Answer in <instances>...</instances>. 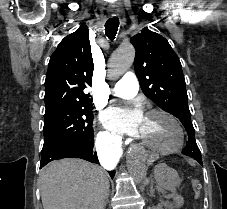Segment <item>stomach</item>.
<instances>
[{
    "mask_svg": "<svg viewBox=\"0 0 227 209\" xmlns=\"http://www.w3.org/2000/svg\"><path fill=\"white\" fill-rule=\"evenodd\" d=\"M154 177L159 187L175 192L179 185V175L176 170L166 164H159L154 169ZM183 204V198L176 195L174 198V206L180 207Z\"/></svg>",
    "mask_w": 227,
    "mask_h": 209,
    "instance_id": "stomach-1",
    "label": "stomach"
}]
</instances>
